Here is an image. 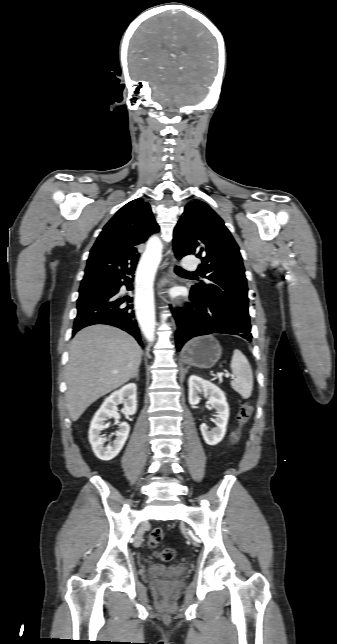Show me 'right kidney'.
I'll list each match as a JSON object with an SVG mask.
<instances>
[{
  "label": "right kidney",
  "instance_id": "obj_1",
  "mask_svg": "<svg viewBox=\"0 0 337 644\" xmlns=\"http://www.w3.org/2000/svg\"><path fill=\"white\" fill-rule=\"evenodd\" d=\"M137 386L129 383L121 389L113 392L105 399L101 407L95 413L89 429V442L95 455L104 461L115 458L123 448L129 432L130 426L126 422L119 424V430L115 433L116 439L104 447L105 439L100 435L101 431L108 427L105 421L110 418L118 420L117 405L123 403L127 415H133L137 410Z\"/></svg>",
  "mask_w": 337,
  "mask_h": 644
}]
</instances>
